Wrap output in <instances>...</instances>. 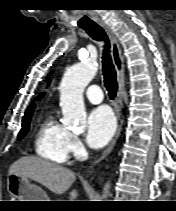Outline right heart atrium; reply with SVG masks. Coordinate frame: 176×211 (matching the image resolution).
Here are the masks:
<instances>
[{"label":"right heart atrium","mask_w":176,"mask_h":211,"mask_svg":"<svg viewBox=\"0 0 176 211\" xmlns=\"http://www.w3.org/2000/svg\"><path fill=\"white\" fill-rule=\"evenodd\" d=\"M69 150L74 156H80L83 152V146L80 139L75 136L71 135L69 140Z\"/></svg>","instance_id":"right-heart-atrium-1"}]
</instances>
